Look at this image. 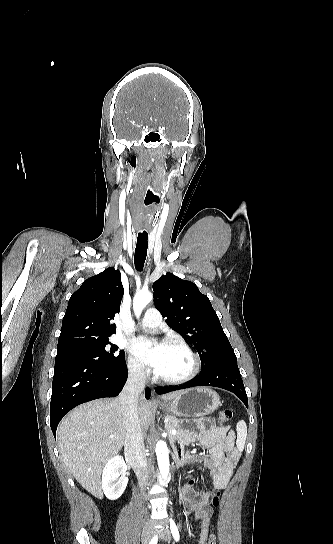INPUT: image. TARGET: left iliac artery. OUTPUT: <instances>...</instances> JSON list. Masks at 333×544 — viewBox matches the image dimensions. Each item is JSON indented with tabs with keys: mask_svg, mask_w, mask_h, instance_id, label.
<instances>
[{
	"mask_svg": "<svg viewBox=\"0 0 333 544\" xmlns=\"http://www.w3.org/2000/svg\"><path fill=\"white\" fill-rule=\"evenodd\" d=\"M170 529L173 535V538L178 542L180 539L178 528L172 518H170Z\"/></svg>",
	"mask_w": 333,
	"mask_h": 544,
	"instance_id": "obj_1",
	"label": "left iliac artery"
}]
</instances>
